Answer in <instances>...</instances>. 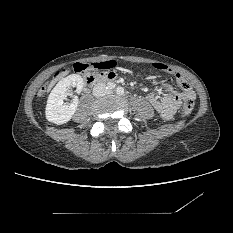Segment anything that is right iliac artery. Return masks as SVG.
Here are the masks:
<instances>
[{
  "instance_id": "right-iliac-artery-1",
  "label": "right iliac artery",
  "mask_w": 233,
  "mask_h": 233,
  "mask_svg": "<svg viewBox=\"0 0 233 233\" xmlns=\"http://www.w3.org/2000/svg\"><path fill=\"white\" fill-rule=\"evenodd\" d=\"M115 84L114 83H108L107 85V89L113 90L115 88Z\"/></svg>"
}]
</instances>
